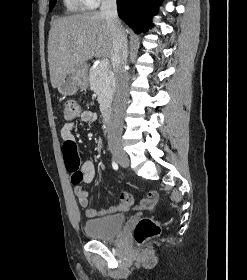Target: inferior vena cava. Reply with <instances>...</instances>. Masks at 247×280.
Instances as JSON below:
<instances>
[{
	"label": "inferior vena cava",
	"instance_id": "inferior-vena-cava-1",
	"mask_svg": "<svg viewBox=\"0 0 247 280\" xmlns=\"http://www.w3.org/2000/svg\"><path fill=\"white\" fill-rule=\"evenodd\" d=\"M100 12L105 16L107 26L111 32L113 46L110 58L116 79V91L113 104V113L108 130L109 143L118 142L122 130V111L126 102L128 75L125 70L127 62V35L117 13L116 0H102Z\"/></svg>",
	"mask_w": 247,
	"mask_h": 280
}]
</instances>
